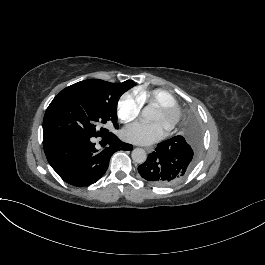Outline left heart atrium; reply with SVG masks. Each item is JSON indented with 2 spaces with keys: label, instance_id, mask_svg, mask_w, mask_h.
Listing matches in <instances>:
<instances>
[{
  "label": "left heart atrium",
  "instance_id": "left-heart-atrium-1",
  "mask_svg": "<svg viewBox=\"0 0 265 265\" xmlns=\"http://www.w3.org/2000/svg\"><path fill=\"white\" fill-rule=\"evenodd\" d=\"M168 135L167 128L161 122L154 124L135 123L127 126L122 137L125 141L139 145H148Z\"/></svg>",
  "mask_w": 265,
  "mask_h": 265
}]
</instances>
